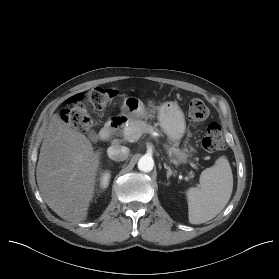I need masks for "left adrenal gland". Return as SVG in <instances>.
<instances>
[{
    "label": "left adrenal gland",
    "mask_w": 279,
    "mask_h": 279,
    "mask_svg": "<svg viewBox=\"0 0 279 279\" xmlns=\"http://www.w3.org/2000/svg\"><path fill=\"white\" fill-rule=\"evenodd\" d=\"M164 168L167 169V179H169L170 176L175 175L174 172L171 170V168L166 164H164Z\"/></svg>",
    "instance_id": "a2214340"
}]
</instances>
